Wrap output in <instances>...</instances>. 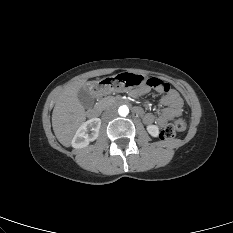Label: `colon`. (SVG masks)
Returning <instances> with one entry per match:
<instances>
[{
  "label": "colon",
  "instance_id": "5ec220e1",
  "mask_svg": "<svg viewBox=\"0 0 233 233\" xmlns=\"http://www.w3.org/2000/svg\"><path fill=\"white\" fill-rule=\"evenodd\" d=\"M146 85L150 88L161 90V91H168L170 86L157 78H149L146 81ZM188 126V122L185 118H178L174 120L172 123L167 125L161 132L162 139H172L175 137L176 133H180L186 130Z\"/></svg>",
  "mask_w": 233,
  "mask_h": 233
}]
</instances>
